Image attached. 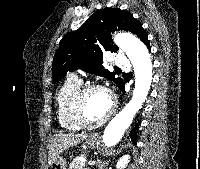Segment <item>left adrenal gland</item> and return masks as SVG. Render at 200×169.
Here are the masks:
<instances>
[{"label": "left adrenal gland", "instance_id": "1", "mask_svg": "<svg viewBox=\"0 0 200 169\" xmlns=\"http://www.w3.org/2000/svg\"><path fill=\"white\" fill-rule=\"evenodd\" d=\"M97 164H98L99 169H103L106 166V164H108V161L102 162L101 160H98Z\"/></svg>", "mask_w": 200, "mask_h": 169}]
</instances>
